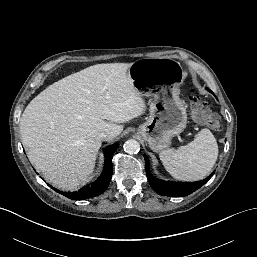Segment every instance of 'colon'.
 Segmentation results:
<instances>
[{"label": "colon", "instance_id": "1", "mask_svg": "<svg viewBox=\"0 0 257 257\" xmlns=\"http://www.w3.org/2000/svg\"><path fill=\"white\" fill-rule=\"evenodd\" d=\"M191 109L193 119L197 123L205 125L215 131L221 129L219 118L210 111L208 104L199 96L193 95L191 97Z\"/></svg>", "mask_w": 257, "mask_h": 257}]
</instances>
